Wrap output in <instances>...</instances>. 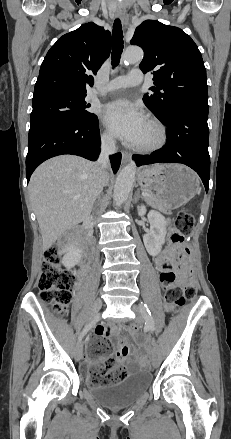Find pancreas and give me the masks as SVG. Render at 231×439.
Returning <instances> with one entry per match:
<instances>
[{
    "mask_svg": "<svg viewBox=\"0 0 231 439\" xmlns=\"http://www.w3.org/2000/svg\"><path fill=\"white\" fill-rule=\"evenodd\" d=\"M145 201L150 206H152L154 208L161 209V205L159 203V199L157 198V196L155 194L149 192L148 196L145 197Z\"/></svg>",
    "mask_w": 231,
    "mask_h": 439,
    "instance_id": "1",
    "label": "pancreas"
}]
</instances>
